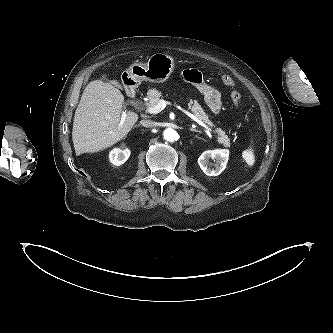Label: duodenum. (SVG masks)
Wrapping results in <instances>:
<instances>
[{"label":"duodenum","mask_w":333,"mask_h":333,"mask_svg":"<svg viewBox=\"0 0 333 333\" xmlns=\"http://www.w3.org/2000/svg\"><path fill=\"white\" fill-rule=\"evenodd\" d=\"M126 91L130 96H134L135 94V86L134 82L131 79L125 80Z\"/></svg>","instance_id":"duodenum-1"}]
</instances>
